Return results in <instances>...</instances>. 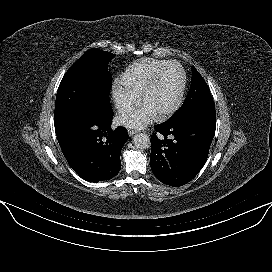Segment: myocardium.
I'll return each mask as SVG.
<instances>
[{
  "mask_svg": "<svg viewBox=\"0 0 272 272\" xmlns=\"http://www.w3.org/2000/svg\"><path fill=\"white\" fill-rule=\"evenodd\" d=\"M171 66H176L180 69L181 74H182V81H181V86L179 89V93L177 96V99L175 103L165 111L159 113L157 116L159 119H166L169 116L173 115L182 105L184 95H185V90H186V85H187V75L186 72L181 64L178 62L170 61L167 64H165L162 68L158 70V72L155 74V76L152 78V80L146 85V87L142 90L140 94V100L141 102H144L146 97L153 91V89L158 85L162 75L164 72Z\"/></svg>",
  "mask_w": 272,
  "mask_h": 272,
  "instance_id": "1",
  "label": "myocardium"
}]
</instances>
